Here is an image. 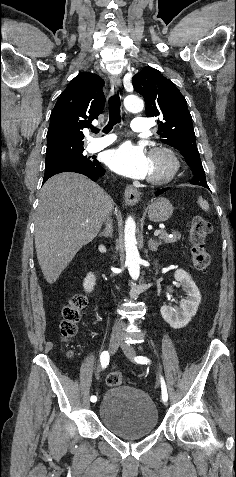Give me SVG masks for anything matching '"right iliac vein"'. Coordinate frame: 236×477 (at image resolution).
Returning a JSON list of instances; mask_svg holds the SVG:
<instances>
[{"instance_id":"63e3f726","label":"right iliac vein","mask_w":236,"mask_h":477,"mask_svg":"<svg viewBox=\"0 0 236 477\" xmlns=\"http://www.w3.org/2000/svg\"><path fill=\"white\" fill-rule=\"evenodd\" d=\"M120 340H121V336L119 333H114L111 338H110V342H109V350H110V353L111 354H114L117 349H118V346H119V343H120ZM98 392H99V389L95 392V395L98 396L97 400L98 402H100V398H99V395H98ZM92 407L93 409H97L99 407V404L97 403L96 405H93L92 404Z\"/></svg>"}]
</instances>
